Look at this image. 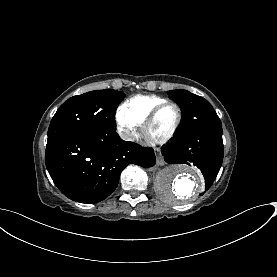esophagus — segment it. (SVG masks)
<instances>
[{
    "instance_id": "esophagus-1",
    "label": "esophagus",
    "mask_w": 277,
    "mask_h": 277,
    "mask_svg": "<svg viewBox=\"0 0 277 277\" xmlns=\"http://www.w3.org/2000/svg\"><path fill=\"white\" fill-rule=\"evenodd\" d=\"M164 163H165V162H164V160H163L162 158L159 157V158L157 159V164H158V165H161V166H162V165H164Z\"/></svg>"
}]
</instances>
